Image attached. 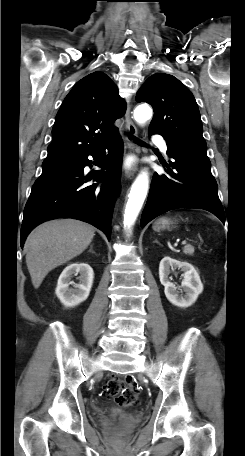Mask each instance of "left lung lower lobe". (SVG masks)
<instances>
[{
	"mask_svg": "<svg viewBox=\"0 0 245 456\" xmlns=\"http://www.w3.org/2000/svg\"><path fill=\"white\" fill-rule=\"evenodd\" d=\"M149 134H154L149 132ZM171 158L168 175L154 173L146 206L141 217V227L169 210L200 208L215 214L222 222L225 216L217 193V183L211 173L208 157L188 151L166 141Z\"/></svg>",
	"mask_w": 245,
	"mask_h": 456,
	"instance_id": "0a47b994",
	"label": "left lung lower lobe"
}]
</instances>
